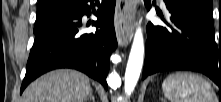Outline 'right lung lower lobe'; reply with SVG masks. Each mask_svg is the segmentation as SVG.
<instances>
[{"label": "right lung lower lobe", "mask_w": 221, "mask_h": 102, "mask_svg": "<svg viewBox=\"0 0 221 102\" xmlns=\"http://www.w3.org/2000/svg\"><path fill=\"white\" fill-rule=\"evenodd\" d=\"M88 2L91 4L89 5ZM116 0H76L75 7L34 32L20 93L40 75L57 68H73L98 80L106 89L111 52L116 49L114 10ZM94 32H84L82 17L95 13Z\"/></svg>", "instance_id": "98d812e1"}]
</instances>
